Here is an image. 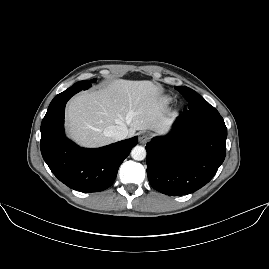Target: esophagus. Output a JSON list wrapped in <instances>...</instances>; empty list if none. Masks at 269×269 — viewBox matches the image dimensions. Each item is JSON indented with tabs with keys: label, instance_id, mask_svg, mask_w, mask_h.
I'll list each match as a JSON object with an SVG mask.
<instances>
[{
	"label": "esophagus",
	"instance_id": "34e87169",
	"mask_svg": "<svg viewBox=\"0 0 269 269\" xmlns=\"http://www.w3.org/2000/svg\"><path fill=\"white\" fill-rule=\"evenodd\" d=\"M149 139H150V136L145 132L139 135V143L141 144H145Z\"/></svg>",
	"mask_w": 269,
	"mask_h": 269
}]
</instances>
